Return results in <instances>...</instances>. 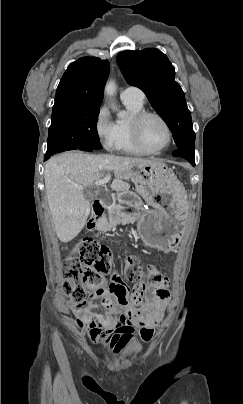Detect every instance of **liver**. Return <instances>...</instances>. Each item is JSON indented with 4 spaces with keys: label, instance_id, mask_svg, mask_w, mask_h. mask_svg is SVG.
I'll use <instances>...</instances> for the list:
<instances>
[{
    "label": "liver",
    "instance_id": "obj_1",
    "mask_svg": "<svg viewBox=\"0 0 243 404\" xmlns=\"http://www.w3.org/2000/svg\"><path fill=\"white\" fill-rule=\"evenodd\" d=\"M156 158H123V156H92L83 152H64L46 162L45 190L54 230L60 242H71L83 230L90 214V204L83 196L84 188L114 170L111 184L116 192H128L133 168L153 166Z\"/></svg>",
    "mask_w": 243,
    "mask_h": 404
}]
</instances>
